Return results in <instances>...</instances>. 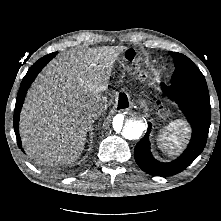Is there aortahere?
<instances>
[{"mask_svg": "<svg viewBox=\"0 0 221 221\" xmlns=\"http://www.w3.org/2000/svg\"><path fill=\"white\" fill-rule=\"evenodd\" d=\"M146 124L137 114H117L112 121L113 132L123 140L139 139Z\"/></svg>", "mask_w": 221, "mask_h": 221, "instance_id": "1", "label": "aorta"}]
</instances>
